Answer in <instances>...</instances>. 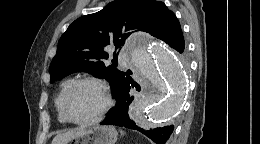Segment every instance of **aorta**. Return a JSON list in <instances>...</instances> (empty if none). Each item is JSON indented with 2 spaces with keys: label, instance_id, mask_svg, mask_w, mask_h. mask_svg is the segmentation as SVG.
<instances>
[{
  "label": "aorta",
  "instance_id": "762f6f07",
  "mask_svg": "<svg viewBox=\"0 0 260 144\" xmlns=\"http://www.w3.org/2000/svg\"><path fill=\"white\" fill-rule=\"evenodd\" d=\"M127 49L135 70L157 89L135 101L137 122L142 127L163 122L179 110L183 100L186 78L181 61L163 42L143 36L131 38Z\"/></svg>",
  "mask_w": 260,
  "mask_h": 144
}]
</instances>
